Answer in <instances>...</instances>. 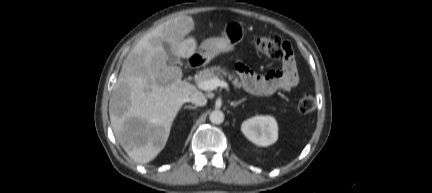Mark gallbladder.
I'll return each instance as SVG.
<instances>
[{
  "label": "gallbladder",
  "mask_w": 432,
  "mask_h": 193,
  "mask_svg": "<svg viewBox=\"0 0 432 193\" xmlns=\"http://www.w3.org/2000/svg\"><path fill=\"white\" fill-rule=\"evenodd\" d=\"M163 47L168 55V63L170 65H177L178 63H180V59L178 56L174 55L171 51V47L168 43H163Z\"/></svg>",
  "instance_id": "1"
}]
</instances>
